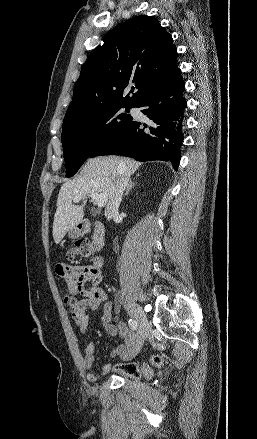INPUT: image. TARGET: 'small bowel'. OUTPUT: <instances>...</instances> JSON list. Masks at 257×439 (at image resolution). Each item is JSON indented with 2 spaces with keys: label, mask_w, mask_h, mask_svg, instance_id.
Wrapping results in <instances>:
<instances>
[{
  "label": "small bowel",
  "mask_w": 257,
  "mask_h": 439,
  "mask_svg": "<svg viewBox=\"0 0 257 439\" xmlns=\"http://www.w3.org/2000/svg\"><path fill=\"white\" fill-rule=\"evenodd\" d=\"M56 272L66 281L70 292H80L84 297L80 310L72 315L81 332H86L89 323V316L86 310L98 311L102 308V323L107 335L119 336L122 340V343L116 346L111 353L112 357H117L120 360L114 368L122 370L138 354L137 340L123 322L112 319V304L108 301L105 291L99 286L102 280L101 272L89 265L66 264L58 265ZM87 283L91 285L88 289L85 288ZM95 362V345L89 341L84 347L83 357L86 378L89 381H97L111 369V365L106 364L101 371L94 372L93 366Z\"/></svg>",
  "instance_id": "small-bowel-1"
}]
</instances>
